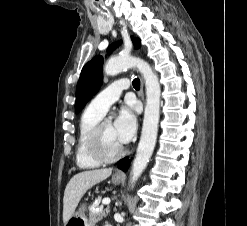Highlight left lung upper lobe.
<instances>
[{"label":"left lung upper lobe","instance_id":"5c2ea615","mask_svg":"<svg viewBox=\"0 0 247 226\" xmlns=\"http://www.w3.org/2000/svg\"><path fill=\"white\" fill-rule=\"evenodd\" d=\"M136 47H139L140 40L132 38ZM117 44H111L107 53L110 54ZM102 66L103 57L95 56L91 61L85 64L76 87L75 111L78 113L92 96L99 90L102 84Z\"/></svg>","mask_w":247,"mask_h":226}]
</instances>
